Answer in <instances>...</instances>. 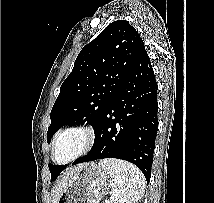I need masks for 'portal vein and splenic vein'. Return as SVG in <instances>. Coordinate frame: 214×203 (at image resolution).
<instances>
[{"mask_svg": "<svg viewBox=\"0 0 214 203\" xmlns=\"http://www.w3.org/2000/svg\"><path fill=\"white\" fill-rule=\"evenodd\" d=\"M114 198H115V195H112V196L110 197V201L113 200Z\"/></svg>", "mask_w": 214, "mask_h": 203, "instance_id": "portal-vein-and-splenic-vein-1", "label": "portal vein and splenic vein"}]
</instances>
